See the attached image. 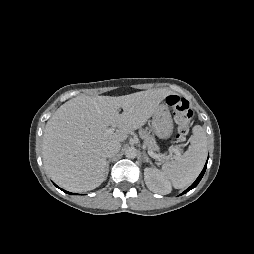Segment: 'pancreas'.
<instances>
[{
  "instance_id": "cf45deb5",
  "label": "pancreas",
  "mask_w": 254,
  "mask_h": 254,
  "mask_svg": "<svg viewBox=\"0 0 254 254\" xmlns=\"http://www.w3.org/2000/svg\"><path fill=\"white\" fill-rule=\"evenodd\" d=\"M140 136L144 140V144L148 147L150 151H158L159 147L156 144V140L153 135L147 130H140Z\"/></svg>"
}]
</instances>
